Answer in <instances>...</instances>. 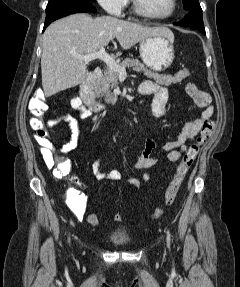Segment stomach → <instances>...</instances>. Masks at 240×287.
<instances>
[{"label":"stomach","instance_id":"obj_1","mask_svg":"<svg viewBox=\"0 0 240 287\" xmlns=\"http://www.w3.org/2000/svg\"><path fill=\"white\" fill-rule=\"evenodd\" d=\"M174 35H156L141 40L139 44L140 57L144 64L154 71L167 69L173 63Z\"/></svg>","mask_w":240,"mask_h":287}]
</instances>
